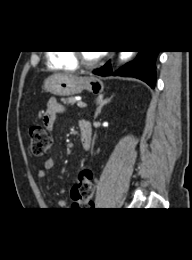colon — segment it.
<instances>
[{
	"label": "colon",
	"mask_w": 192,
	"mask_h": 260,
	"mask_svg": "<svg viewBox=\"0 0 192 260\" xmlns=\"http://www.w3.org/2000/svg\"><path fill=\"white\" fill-rule=\"evenodd\" d=\"M31 151L35 156H43L51 145L48 130L41 124H33L29 128ZM95 190L93 171L85 168L78 174L72 187L71 196L74 202L91 205Z\"/></svg>",
	"instance_id": "colon-1"
}]
</instances>
